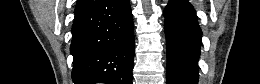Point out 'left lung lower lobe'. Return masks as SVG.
<instances>
[{
    "instance_id": "0a47b994",
    "label": "left lung lower lobe",
    "mask_w": 260,
    "mask_h": 84,
    "mask_svg": "<svg viewBox=\"0 0 260 84\" xmlns=\"http://www.w3.org/2000/svg\"><path fill=\"white\" fill-rule=\"evenodd\" d=\"M167 84H197L202 32L187 0H171L166 6Z\"/></svg>"
}]
</instances>
